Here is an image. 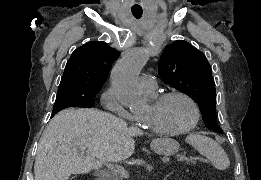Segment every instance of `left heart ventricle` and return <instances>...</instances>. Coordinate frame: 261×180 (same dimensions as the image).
<instances>
[{"mask_svg":"<svg viewBox=\"0 0 261 180\" xmlns=\"http://www.w3.org/2000/svg\"><path fill=\"white\" fill-rule=\"evenodd\" d=\"M143 96L147 100V105L134 114L137 119L149 125L157 135L179 133L189 126L193 118V108L184 98L173 96L157 106H152L148 96Z\"/></svg>","mask_w":261,"mask_h":180,"instance_id":"b2bd125f","label":"left heart ventricle"}]
</instances>
